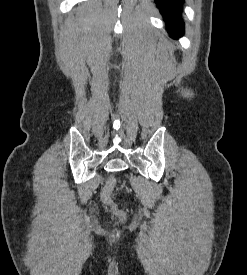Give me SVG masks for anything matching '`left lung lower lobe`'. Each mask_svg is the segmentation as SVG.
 I'll return each instance as SVG.
<instances>
[{
  "mask_svg": "<svg viewBox=\"0 0 247 275\" xmlns=\"http://www.w3.org/2000/svg\"><path fill=\"white\" fill-rule=\"evenodd\" d=\"M156 3L164 16L171 37L177 39L184 31V23L180 17L184 0H156Z\"/></svg>",
  "mask_w": 247,
  "mask_h": 275,
  "instance_id": "obj_1",
  "label": "left lung lower lobe"
}]
</instances>
